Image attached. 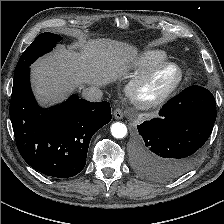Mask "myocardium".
Returning a JSON list of instances; mask_svg holds the SVG:
<instances>
[{
	"instance_id": "f54148a6",
	"label": "myocardium",
	"mask_w": 224,
	"mask_h": 224,
	"mask_svg": "<svg viewBox=\"0 0 224 224\" xmlns=\"http://www.w3.org/2000/svg\"><path fill=\"white\" fill-rule=\"evenodd\" d=\"M166 70L173 72V77L168 85L160 93L154 96H146L145 90L149 84L157 75ZM183 77L184 71L179 64L171 61H164L150 67L135 77L130 82L127 93L131 102L141 109L158 107L169 99V97L181 84Z\"/></svg>"
}]
</instances>
